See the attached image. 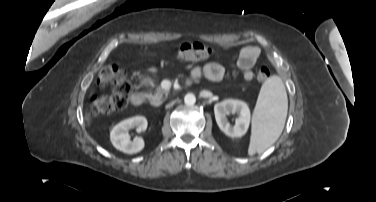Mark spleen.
Masks as SVG:
<instances>
[{
  "instance_id": "obj_1",
  "label": "spleen",
  "mask_w": 376,
  "mask_h": 202,
  "mask_svg": "<svg viewBox=\"0 0 376 202\" xmlns=\"http://www.w3.org/2000/svg\"><path fill=\"white\" fill-rule=\"evenodd\" d=\"M288 110L286 89L279 76L269 77L262 85L252 118L248 154L263 152L281 135Z\"/></svg>"
}]
</instances>
